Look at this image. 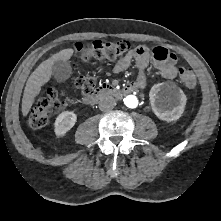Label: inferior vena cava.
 <instances>
[{
	"instance_id": "1",
	"label": "inferior vena cava",
	"mask_w": 221,
	"mask_h": 221,
	"mask_svg": "<svg viewBox=\"0 0 221 221\" xmlns=\"http://www.w3.org/2000/svg\"><path fill=\"white\" fill-rule=\"evenodd\" d=\"M116 105V100L112 96H104L99 101V108L102 111L112 110Z\"/></svg>"
}]
</instances>
